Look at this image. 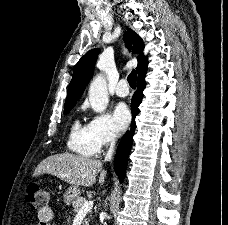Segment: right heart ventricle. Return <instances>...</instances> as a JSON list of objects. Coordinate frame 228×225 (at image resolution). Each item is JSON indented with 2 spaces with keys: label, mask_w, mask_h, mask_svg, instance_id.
<instances>
[{
  "label": "right heart ventricle",
  "mask_w": 228,
  "mask_h": 225,
  "mask_svg": "<svg viewBox=\"0 0 228 225\" xmlns=\"http://www.w3.org/2000/svg\"><path fill=\"white\" fill-rule=\"evenodd\" d=\"M67 147L70 151L87 157L97 156L100 151L86 126L82 127L78 120H74L70 125Z\"/></svg>",
  "instance_id": "obj_1"
}]
</instances>
